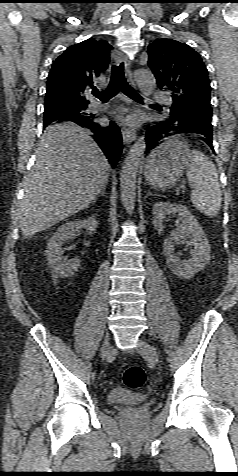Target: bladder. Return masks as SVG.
<instances>
[{
  "mask_svg": "<svg viewBox=\"0 0 238 476\" xmlns=\"http://www.w3.org/2000/svg\"><path fill=\"white\" fill-rule=\"evenodd\" d=\"M148 398V394L124 387L112 388L106 396L109 405H136Z\"/></svg>",
  "mask_w": 238,
  "mask_h": 476,
  "instance_id": "31cf9c89",
  "label": "bladder"
}]
</instances>
